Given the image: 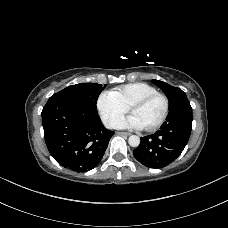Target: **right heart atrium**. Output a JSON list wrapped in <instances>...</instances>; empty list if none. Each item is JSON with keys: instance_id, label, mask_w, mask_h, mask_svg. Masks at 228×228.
I'll return each mask as SVG.
<instances>
[{"instance_id": "right-heart-atrium-1", "label": "right heart atrium", "mask_w": 228, "mask_h": 228, "mask_svg": "<svg viewBox=\"0 0 228 228\" xmlns=\"http://www.w3.org/2000/svg\"><path fill=\"white\" fill-rule=\"evenodd\" d=\"M96 106L103 123L110 128L114 127L129 109L112 91L102 92L97 98Z\"/></svg>"}]
</instances>
